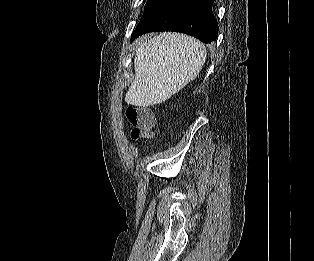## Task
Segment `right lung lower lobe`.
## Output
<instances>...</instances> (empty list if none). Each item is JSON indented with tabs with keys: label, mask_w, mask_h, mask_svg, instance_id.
Returning a JSON list of instances; mask_svg holds the SVG:
<instances>
[{
	"label": "right lung lower lobe",
	"mask_w": 314,
	"mask_h": 261,
	"mask_svg": "<svg viewBox=\"0 0 314 261\" xmlns=\"http://www.w3.org/2000/svg\"><path fill=\"white\" fill-rule=\"evenodd\" d=\"M214 0H173L147 22L138 25L131 42L148 32L176 31L196 37L203 43L217 39L218 24L212 13Z\"/></svg>",
	"instance_id": "right-lung-lower-lobe-1"
}]
</instances>
